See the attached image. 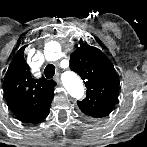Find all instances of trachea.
<instances>
[{
  "instance_id": "1",
  "label": "trachea",
  "mask_w": 147,
  "mask_h": 147,
  "mask_svg": "<svg viewBox=\"0 0 147 147\" xmlns=\"http://www.w3.org/2000/svg\"><path fill=\"white\" fill-rule=\"evenodd\" d=\"M44 74L47 79L52 78L55 74V66L52 64L47 65L44 70Z\"/></svg>"
}]
</instances>
